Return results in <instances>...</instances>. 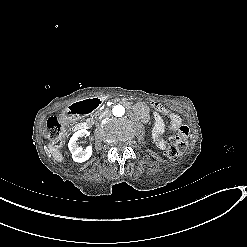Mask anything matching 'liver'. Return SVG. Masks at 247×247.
I'll use <instances>...</instances> for the list:
<instances>
[{"label": "liver", "instance_id": "1", "mask_svg": "<svg viewBox=\"0 0 247 247\" xmlns=\"http://www.w3.org/2000/svg\"><path fill=\"white\" fill-rule=\"evenodd\" d=\"M47 149L50 153V155L52 156L53 159H55V161L59 162V163H64L65 162V157L62 153V151L56 147L55 144H47Z\"/></svg>", "mask_w": 247, "mask_h": 247}]
</instances>
